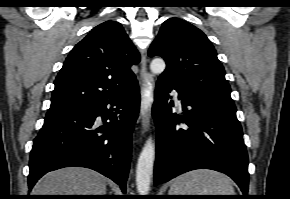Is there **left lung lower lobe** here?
Wrapping results in <instances>:
<instances>
[{"mask_svg": "<svg viewBox=\"0 0 290 199\" xmlns=\"http://www.w3.org/2000/svg\"><path fill=\"white\" fill-rule=\"evenodd\" d=\"M179 93L183 115L172 113L171 90ZM157 128L155 185L194 169L230 176L247 198L248 156L234 103L178 87L159 77L153 105Z\"/></svg>", "mask_w": 290, "mask_h": 199, "instance_id": "0a47b994", "label": "left lung lower lobe"}]
</instances>
